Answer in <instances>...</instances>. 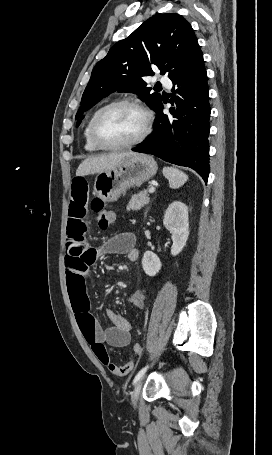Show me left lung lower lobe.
<instances>
[{
    "instance_id": "0a47b994",
    "label": "left lung lower lobe",
    "mask_w": 272,
    "mask_h": 455,
    "mask_svg": "<svg viewBox=\"0 0 272 455\" xmlns=\"http://www.w3.org/2000/svg\"><path fill=\"white\" fill-rule=\"evenodd\" d=\"M169 78L177 86L176 90L172 89L175 94L170 103L175 105L170 112L179 120L172 122L163 114L161 100L155 108L158 116L154 132L132 150L190 167L207 182L210 172L208 135L211 109L203 55Z\"/></svg>"
}]
</instances>
